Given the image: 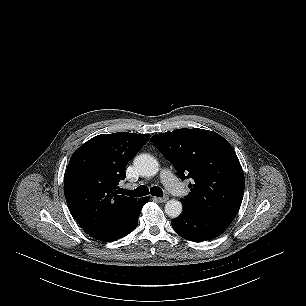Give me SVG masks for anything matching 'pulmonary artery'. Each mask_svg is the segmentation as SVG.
<instances>
[{
  "label": "pulmonary artery",
  "mask_w": 306,
  "mask_h": 306,
  "mask_svg": "<svg viewBox=\"0 0 306 306\" xmlns=\"http://www.w3.org/2000/svg\"><path fill=\"white\" fill-rule=\"evenodd\" d=\"M160 177L164 185L167 187V189L175 194V195H181L183 193V189L181 187L180 182L178 179L174 176V174L169 169H163L160 173Z\"/></svg>",
  "instance_id": "e3ab8cb5"
}]
</instances>
